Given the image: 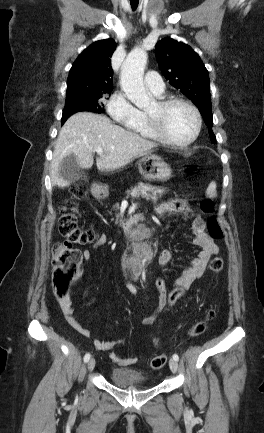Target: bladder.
Wrapping results in <instances>:
<instances>
[{"mask_svg":"<svg viewBox=\"0 0 264 433\" xmlns=\"http://www.w3.org/2000/svg\"><path fill=\"white\" fill-rule=\"evenodd\" d=\"M110 380L113 384L121 387L145 388L147 378L140 372L127 368H114L110 372Z\"/></svg>","mask_w":264,"mask_h":433,"instance_id":"1","label":"bladder"}]
</instances>
